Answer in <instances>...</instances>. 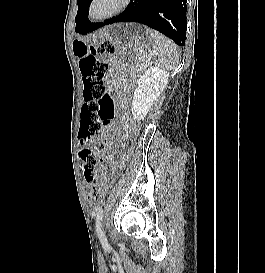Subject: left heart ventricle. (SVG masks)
Here are the masks:
<instances>
[{
	"instance_id": "left-heart-ventricle-1",
	"label": "left heart ventricle",
	"mask_w": 265,
	"mask_h": 273,
	"mask_svg": "<svg viewBox=\"0 0 265 273\" xmlns=\"http://www.w3.org/2000/svg\"><path fill=\"white\" fill-rule=\"evenodd\" d=\"M120 0H96L93 6V14L95 16H102L112 11Z\"/></svg>"
}]
</instances>
